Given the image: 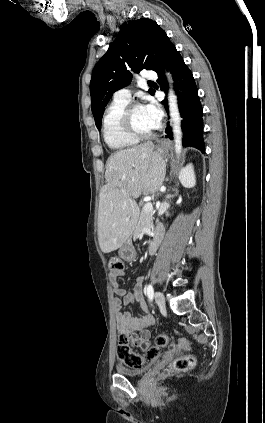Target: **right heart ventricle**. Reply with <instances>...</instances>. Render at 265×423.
Instances as JSON below:
<instances>
[{
  "mask_svg": "<svg viewBox=\"0 0 265 423\" xmlns=\"http://www.w3.org/2000/svg\"><path fill=\"white\" fill-rule=\"evenodd\" d=\"M128 102L113 100L103 116V137L106 144L115 151L130 149L138 140L129 136L121 127L120 117Z\"/></svg>",
  "mask_w": 265,
  "mask_h": 423,
  "instance_id": "obj_1",
  "label": "right heart ventricle"
}]
</instances>
